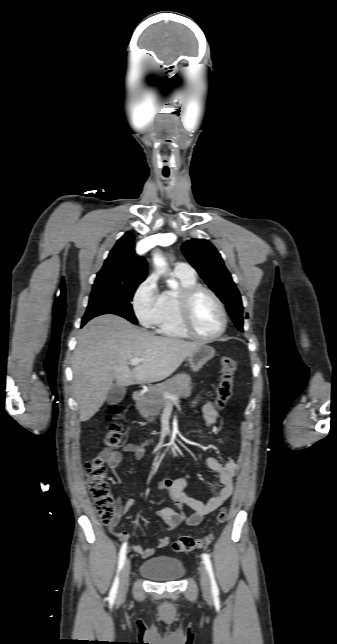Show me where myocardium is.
Here are the masks:
<instances>
[{"label":"myocardium","mask_w":337,"mask_h":644,"mask_svg":"<svg viewBox=\"0 0 337 644\" xmlns=\"http://www.w3.org/2000/svg\"><path fill=\"white\" fill-rule=\"evenodd\" d=\"M201 293H207L214 299L219 307L222 316V324L219 331L209 337L200 335L195 330L192 321L193 304L196 297ZM179 318L184 330L188 333V335L203 342H213L220 338L225 333L228 325V314L223 301L212 289L200 284L187 287L181 292L179 297Z\"/></svg>","instance_id":"1"}]
</instances>
